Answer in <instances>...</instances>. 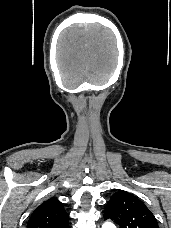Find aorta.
Masks as SVG:
<instances>
[{
	"label": "aorta",
	"mask_w": 171,
	"mask_h": 228,
	"mask_svg": "<svg viewBox=\"0 0 171 228\" xmlns=\"http://www.w3.org/2000/svg\"><path fill=\"white\" fill-rule=\"evenodd\" d=\"M102 228H116L115 225L111 222H105L103 225H102Z\"/></svg>",
	"instance_id": "obj_1"
}]
</instances>
